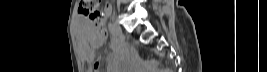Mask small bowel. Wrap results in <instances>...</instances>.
<instances>
[{
  "label": "small bowel",
  "instance_id": "c3829d8e",
  "mask_svg": "<svg viewBox=\"0 0 267 72\" xmlns=\"http://www.w3.org/2000/svg\"><path fill=\"white\" fill-rule=\"evenodd\" d=\"M104 11L106 13H110L111 12V6L109 4L105 5ZM105 39H106V34H102L101 36H99L97 34H92L91 38H90V43L92 44V46L94 48H96V47H99L100 45H102L104 43ZM82 56H83V59L85 61H89L93 57V52L88 51V50H83ZM108 69H109V71L113 70L111 60H109Z\"/></svg>",
  "mask_w": 267,
  "mask_h": 72
}]
</instances>
